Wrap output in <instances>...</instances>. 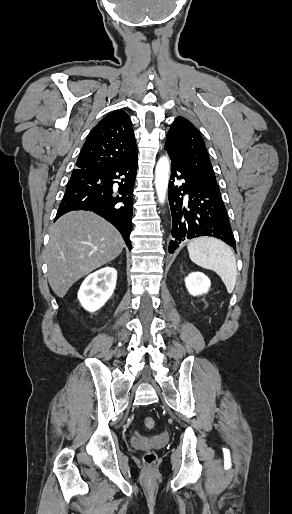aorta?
Listing matches in <instances>:
<instances>
[{
    "label": "aorta",
    "mask_w": 292,
    "mask_h": 514,
    "mask_svg": "<svg viewBox=\"0 0 292 514\" xmlns=\"http://www.w3.org/2000/svg\"><path fill=\"white\" fill-rule=\"evenodd\" d=\"M170 164L168 158H160L155 168V188L160 204H164L169 182Z\"/></svg>",
    "instance_id": "obj_1"
}]
</instances>
